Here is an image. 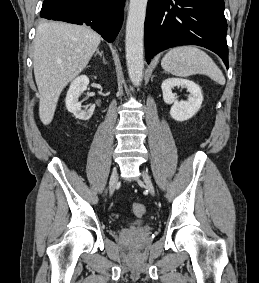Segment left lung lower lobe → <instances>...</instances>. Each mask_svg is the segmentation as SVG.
Instances as JSON below:
<instances>
[{"mask_svg":"<svg viewBox=\"0 0 259 283\" xmlns=\"http://www.w3.org/2000/svg\"><path fill=\"white\" fill-rule=\"evenodd\" d=\"M226 33L224 0H148L147 63L167 48L198 45L218 54L228 68Z\"/></svg>","mask_w":259,"mask_h":283,"instance_id":"1","label":"left lung lower lobe"}]
</instances>
